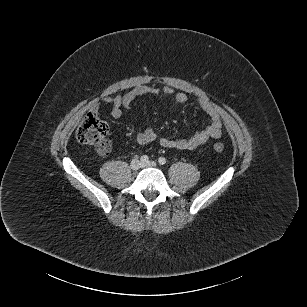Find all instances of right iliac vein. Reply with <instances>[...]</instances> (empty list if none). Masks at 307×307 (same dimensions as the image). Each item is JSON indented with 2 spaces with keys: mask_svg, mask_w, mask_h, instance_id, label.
I'll list each match as a JSON object with an SVG mask.
<instances>
[{
  "mask_svg": "<svg viewBox=\"0 0 307 307\" xmlns=\"http://www.w3.org/2000/svg\"><path fill=\"white\" fill-rule=\"evenodd\" d=\"M141 162L138 159H133L130 163V168L134 171L138 170L141 167Z\"/></svg>",
  "mask_w": 307,
  "mask_h": 307,
  "instance_id": "right-iliac-vein-1",
  "label": "right iliac vein"
}]
</instances>
